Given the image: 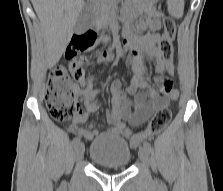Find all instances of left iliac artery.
<instances>
[{
	"mask_svg": "<svg viewBox=\"0 0 223 191\" xmlns=\"http://www.w3.org/2000/svg\"><path fill=\"white\" fill-rule=\"evenodd\" d=\"M144 147L149 153L152 152V147L149 142H144Z\"/></svg>",
	"mask_w": 223,
	"mask_h": 191,
	"instance_id": "obj_1",
	"label": "left iliac artery"
}]
</instances>
